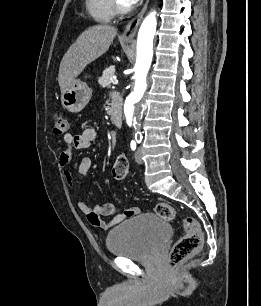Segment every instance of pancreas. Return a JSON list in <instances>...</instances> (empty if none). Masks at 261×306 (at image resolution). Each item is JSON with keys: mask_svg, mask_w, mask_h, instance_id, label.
Returning a JSON list of instances; mask_svg holds the SVG:
<instances>
[{"mask_svg": "<svg viewBox=\"0 0 261 306\" xmlns=\"http://www.w3.org/2000/svg\"><path fill=\"white\" fill-rule=\"evenodd\" d=\"M115 73V67L114 66H110L109 68L105 69L103 71V74L101 77H99L98 79V84L101 87H109L112 80H113V75Z\"/></svg>", "mask_w": 261, "mask_h": 306, "instance_id": "cf45deb5", "label": "pancreas"}]
</instances>
